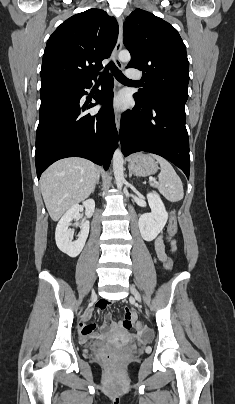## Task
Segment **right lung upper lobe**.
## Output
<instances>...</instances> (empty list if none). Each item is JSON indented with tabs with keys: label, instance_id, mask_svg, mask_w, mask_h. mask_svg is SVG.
Masks as SVG:
<instances>
[{
	"label": "right lung upper lobe",
	"instance_id": "right-lung-upper-lobe-1",
	"mask_svg": "<svg viewBox=\"0 0 235 404\" xmlns=\"http://www.w3.org/2000/svg\"><path fill=\"white\" fill-rule=\"evenodd\" d=\"M117 37V21L103 10L89 9L70 17L47 41L41 69L42 85L95 79Z\"/></svg>",
	"mask_w": 235,
	"mask_h": 404
}]
</instances>
